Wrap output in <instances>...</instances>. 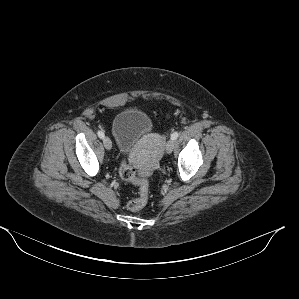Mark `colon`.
Segmentation results:
<instances>
[{
    "label": "colon",
    "mask_w": 299,
    "mask_h": 299,
    "mask_svg": "<svg viewBox=\"0 0 299 299\" xmlns=\"http://www.w3.org/2000/svg\"><path fill=\"white\" fill-rule=\"evenodd\" d=\"M120 176L123 180L131 182L139 187V196L128 202V209L131 211L141 210L147 203L149 194L148 182L144 179H139L136 176L134 168L126 162H123L120 166Z\"/></svg>",
    "instance_id": "obj_1"
}]
</instances>
